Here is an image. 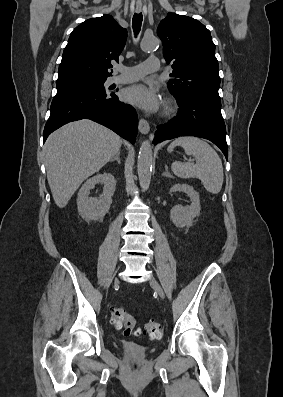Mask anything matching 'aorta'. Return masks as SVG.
<instances>
[{
  "mask_svg": "<svg viewBox=\"0 0 283 397\" xmlns=\"http://www.w3.org/2000/svg\"><path fill=\"white\" fill-rule=\"evenodd\" d=\"M159 44V40L156 37H145L142 40L141 48L144 51L155 49ZM153 151L152 146L148 140L142 142L139 150L137 170L139 183L141 188L145 191L149 188L151 181Z\"/></svg>",
  "mask_w": 283,
  "mask_h": 397,
  "instance_id": "aorta-1",
  "label": "aorta"
}]
</instances>
